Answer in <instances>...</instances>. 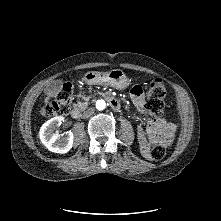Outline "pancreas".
Instances as JSON below:
<instances>
[{
  "mask_svg": "<svg viewBox=\"0 0 221 221\" xmlns=\"http://www.w3.org/2000/svg\"><path fill=\"white\" fill-rule=\"evenodd\" d=\"M82 98L84 99L85 102H78L77 106L81 109H83L84 107H86L88 105V101L90 100V97H84L82 96Z\"/></svg>",
  "mask_w": 221,
  "mask_h": 221,
  "instance_id": "1",
  "label": "pancreas"
}]
</instances>
